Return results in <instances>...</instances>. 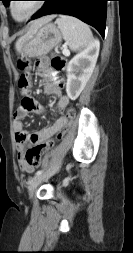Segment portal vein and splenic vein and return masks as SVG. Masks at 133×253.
<instances>
[{
	"label": "portal vein and splenic vein",
	"instance_id": "obj_1",
	"mask_svg": "<svg viewBox=\"0 0 133 253\" xmlns=\"http://www.w3.org/2000/svg\"><path fill=\"white\" fill-rule=\"evenodd\" d=\"M63 54L68 56L70 54V51L67 49V47L63 48Z\"/></svg>",
	"mask_w": 133,
	"mask_h": 253
}]
</instances>
